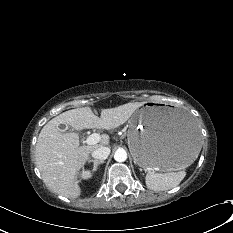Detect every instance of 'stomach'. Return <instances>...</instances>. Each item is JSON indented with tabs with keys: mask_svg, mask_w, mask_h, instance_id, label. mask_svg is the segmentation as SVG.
I'll return each instance as SVG.
<instances>
[{
	"mask_svg": "<svg viewBox=\"0 0 233 233\" xmlns=\"http://www.w3.org/2000/svg\"><path fill=\"white\" fill-rule=\"evenodd\" d=\"M127 138L134 161L149 170L185 168L201 149L193 118L171 105L145 103L138 108L129 121Z\"/></svg>",
	"mask_w": 233,
	"mask_h": 233,
	"instance_id": "obj_1",
	"label": "stomach"
}]
</instances>
